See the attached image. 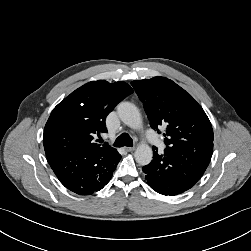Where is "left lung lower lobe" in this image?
<instances>
[{"mask_svg":"<svg viewBox=\"0 0 251 251\" xmlns=\"http://www.w3.org/2000/svg\"><path fill=\"white\" fill-rule=\"evenodd\" d=\"M211 157L165 149L142 168L148 185L162 195L174 196L190 189L204 174Z\"/></svg>","mask_w":251,"mask_h":251,"instance_id":"obj_1","label":"left lung lower lobe"}]
</instances>
